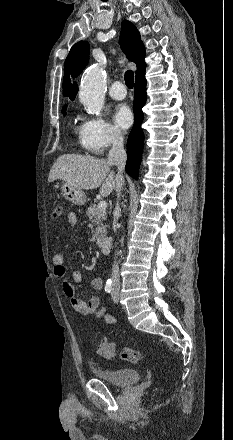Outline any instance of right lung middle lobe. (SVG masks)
<instances>
[{
    "instance_id": "dd1d6c3e",
    "label": "right lung middle lobe",
    "mask_w": 233,
    "mask_h": 440,
    "mask_svg": "<svg viewBox=\"0 0 233 440\" xmlns=\"http://www.w3.org/2000/svg\"><path fill=\"white\" fill-rule=\"evenodd\" d=\"M62 112H63V114L65 115V113H66V109H65V110H62Z\"/></svg>"
}]
</instances>
